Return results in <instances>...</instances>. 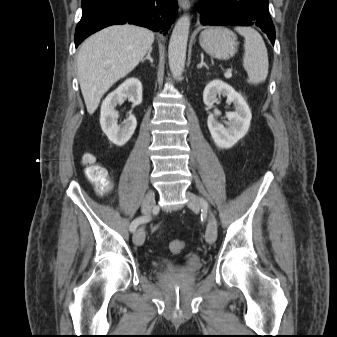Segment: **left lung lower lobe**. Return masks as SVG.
I'll return each instance as SVG.
<instances>
[{
    "mask_svg": "<svg viewBox=\"0 0 337 337\" xmlns=\"http://www.w3.org/2000/svg\"><path fill=\"white\" fill-rule=\"evenodd\" d=\"M202 25H256L275 42V28L268 0H201L198 5Z\"/></svg>",
    "mask_w": 337,
    "mask_h": 337,
    "instance_id": "0a47b994",
    "label": "left lung lower lobe"
}]
</instances>
